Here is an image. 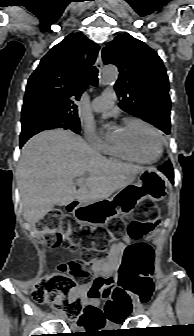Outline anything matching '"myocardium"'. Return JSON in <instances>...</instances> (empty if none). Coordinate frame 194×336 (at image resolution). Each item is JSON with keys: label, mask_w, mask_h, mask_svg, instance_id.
Returning <instances> with one entry per match:
<instances>
[{"label": "myocardium", "mask_w": 194, "mask_h": 336, "mask_svg": "<svg viewBox=\"0 0 194 336\" xmlns=\"http://www.w3.org/2000/svg\"><path fill=\"white\" fill-rule=\"evenodd\" d=\"M132 124H141V125L149 128L154 133V135L157 138V142H158V149H157L156 156L152 159H143V158L137 156L136 154H134L124 144H122L120 142H114L115 146H117L119 148V150L124 155H126L128 158H130L132 160H135V161H138V162H141V163H145V164H153V163L157 162L161 158L162 153H163V148H164L163 138H162V135H161L160 131L154 125H152L151 123H149V122H147L143 119H140V118H128L124 121L122 127H127V126L132 125Z\"/></svg>", "instance_id": "myocardium-1"}]
</instances>
